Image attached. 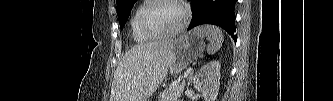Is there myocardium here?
Instances as JSON below:
<instances>
[{
  "instance_id": "f54148a6",
  "label": "myocardium",
  "mask_w": 333,
  "mask_h": 101,
  "mask_svg": "<svg viewBox=\"0 0 333 101\" xmlns=\"http://www.w3.org/2000/svg\"><path fill=\"white\" fill-rule=\"evenodd\" d=\"M164 2H171L174 3L175 5H177L182 12V20L180 22V24L178 25V27H176L175 29H173L172 31L169 32H158L156 30H154L148 21V16L150 11L158 4L160 3H164ZM189 20V11L187 9V7L183 4L182 1H178V0H153L150 1L146 7L143 9L141 15H140V26L141 29L143 30L144 33H146L147 35H149L152 38H165V37H172L175 36L177 34H179L187 25Z\"/></svg>"
}]
</instances>
